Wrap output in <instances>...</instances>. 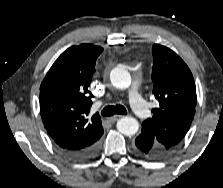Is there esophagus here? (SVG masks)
<instances>
[{
	"mask_svg": "<svg viewBox=\"0 0 223 188\" xmlns=\"http://www.w3.org/2000/svg\"><path fill=\"white\" fill-rule=\"evenodd\" d=\"M123 116L122 115H115L111 118H109L110 122H116L117 120H119L120 118H122Z\"/></svg>",
	"mask_w": 223,
	"mask_h": 188,
	"instance_id": "esophagus-1",
	"label": "esophagus"
}]
</instances>
